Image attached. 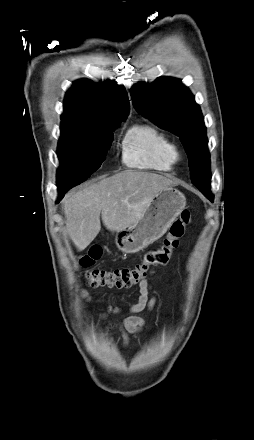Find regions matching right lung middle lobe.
Returning a JSON list of instances; mask_svg holds the SVG:
<instances>
[{
  "mask_svg": "<svg viewBox=\"0 0 254 440\" xmlns=\"http://www.w3.org/2000/svg\"><path fill=\"white\" fill-rule=\"evenodd\" d=\"M121 122L103 126L61 122L57 151L61 165L57 173L58 188L71 189L101 166L112 143V132L120 127Z\"/></svg>",
  "mask_w": 254,
  "mask_h": 440,
  "instance_id": "dd1d6c3e",
  "label": "right lung middle lobe"
}]
</instances>
